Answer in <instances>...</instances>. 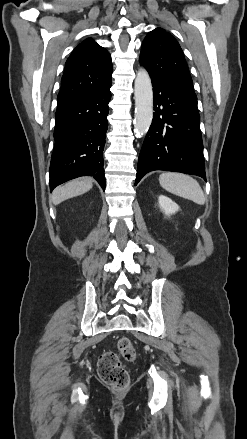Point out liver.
Masks as SVG:
<instances>
[{
  "instance_id": "6515ba94",
  "label": "liver",
  "mask_w": 247,
  "mask_h": 439,
  "mask_svg": "<svg viewBox=\"0 0 247 439\" xmlns=\"http://www.w3.org/2000/svg\"><path fill=\"white\" fill-rule=\"evenodd\" d=\"M93 186V180L89 177L75 179L57 187L52 193V201L55 205L88 192Z\"/></svg>"
}]
</instances>
